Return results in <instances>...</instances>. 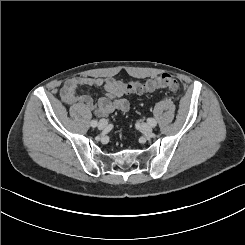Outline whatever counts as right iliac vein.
<instances>
[{"label":"right iliac vein","instance_id":"right-iliac-vein-1","mask_svg":"<svg viewBox=\"0 0 245 245\" xmlns=\"http://www.w3.org/2000/svg\"><path fill=\"white\" fill-rule=\"evenodd\" d=\"M107 126H108V122H107V120H105V119L100 120L99 123H98V129H99V130H103V129H105Z\"/></svg>","mask_w":245,"mask_h":245}]
</instances>
